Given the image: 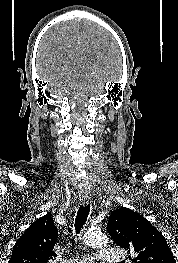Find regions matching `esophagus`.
Wrapping results in <instances>:
<instances>
[{
    "label": "esophagus",
    "mask_w": 178,
    "mask_h": 263,
    "mask_svg": "<svg viewBox=\"0 0 178 263\" xmlns=\"http://www.w3.org/2000/svg\"><path fill=\"white\" fill-rule=\"evenodd\" d=\"M80 202L82 205H88L90 203V197L89 196H81Z\"/></svg>",
    "instance_id": "34e87169"
}]
</instances>
